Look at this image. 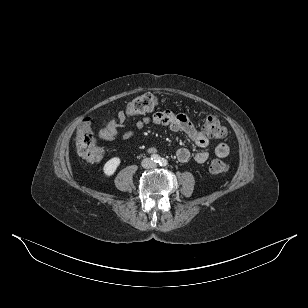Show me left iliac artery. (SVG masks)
Here are the masks:
<instances>
[{
	"label": "left iliac artery",
	"instance_id": "left-iliac-artery-1",
	"mask_svg": "<svg viewBox=\"0 0 308 308\" xmlns=\"http://www.w3.org/2000/svg\"><path fill=\"white\" fill-rule=\"evenodd\" d=\"M166 164H167V161L165 159H162L161 162H160V165L165 166Z\"/></svg>",
	"mask_w": 308,
	"mask_h": 308
}]
</instances>
